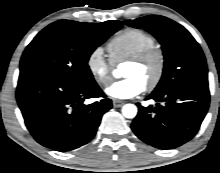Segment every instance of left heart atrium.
<instances>
[{
  "mask_svg": "<svg viewBox=\"0 0 220 173\" xmlns=\"http://www.w3.org/2000/svg\"><path fill=\"white\" fill-rule=\"evenodd\" d=\"M144 89L145 85L138 78L127 77L109 85L106 93L114 99H129L138 96Z\"/></svg>",
  "mask_w": 220,
  "mask_h": 173,
  "instance_id": "left-heart-atrium-1",
  "label": "left heart atrium"
}]
</instances>
